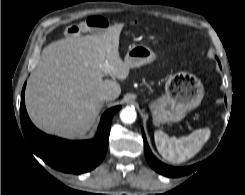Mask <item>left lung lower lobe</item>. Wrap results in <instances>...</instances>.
<instances>
[{
  "mask_svg": "<svg viewBox=\"0 0 245 195\" xmlns=\"http://www.w3.org/2000/svg\"><path fill=\"white\" fill-rule=\"evenodd\" d=\"M142 136L144 139V153L149 165L158 173L167 176V177H180L187 175L193 171H195L198 167V164H194L188 167H172L166 165L159 161L151 152L144 131L142 130Z\"/></svg>",
  "mask_w": 245,
  "mask_h": 195,
  "instance_id": "0a47b994",
  "label": "left lung lower lobe"
}]
</instances>
